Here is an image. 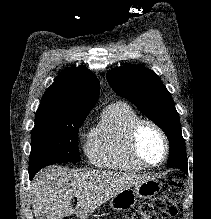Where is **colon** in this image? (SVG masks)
I'll use <instances>...</instances> for the list:
<instances>
[{"instance_id":"5ec220e1","label":"colon","mask_w":211,"mask_h":219,"mask_svg":"<svg viewBox=\"0 0 211 219\" xmlns=\"http://www.w3.org/2000/svg\"><path fill=\"white\" fill-rule=\"evenodd\" d=\"M181 193V183L174 180L161 196L144 203L134 213L122 219H166L168 217H174L178 213Z\"/></svg>"}]
</instances>
